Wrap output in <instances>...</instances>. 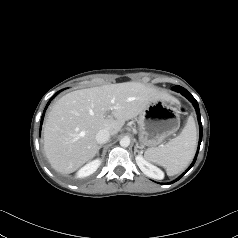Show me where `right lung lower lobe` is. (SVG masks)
<instances>
[{
	"instance_id": "obj_1",
	"label": "right lung lower lobe",
	"mask_w": 238,
	"mask_h": 238,
	"mask_svg": "<svg viewBox=\"0 0 238 238\" xmlns=\"http://www.w3.org/2000/svg\"><path fill=\"white\" fill-rule=\"evenodd\" d=\"M61 91H62V90H61ZM61 91H59V92H61ZM59 92H57V93L51 98V100H52ZM51 100H50V101H51ZM50 101H49L48 104L46 105L45 110L47 109V107H48ZM45 110H44V112H45ZM43 117H44V115H43L42 118H41V123H42V121H43Z\"/></svg>"
}]
</instances>
